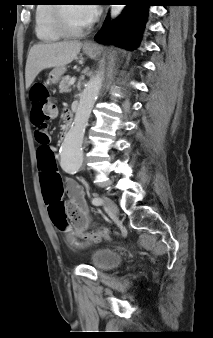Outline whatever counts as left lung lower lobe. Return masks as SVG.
Segmentation results:
<instances>
[{
	"instance_id": "1",
	"label": "left lung lower lobe",
	"mask_w": 213,
	"mask_h": 338,
	"mask_svg": "<svg viewBox=\"0 0 213 338\" xmlns=\"http://www.w3.org/2000/svg\"><path fill=\"white\" fill-rule=\"evenodd\" d=\"M126 5L122 14L112 24L107 18L96 39L128 50L135 49L141 39L151 0H115Z\"/></svg>"
}]
</instances>
